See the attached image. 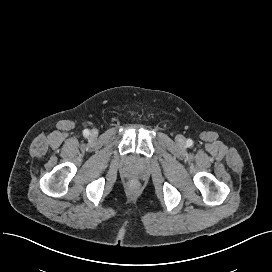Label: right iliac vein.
<instances>
[{"instance_id": "63e3f726", "label": "right iliac vein", "mask_w": 272, "mask_h": 272, "mask_svg": "<svg viewBox=\"0 0 272 272\" xmlns=\"http://www.w3.org/2000/svg\"><path fill=\"white\" fill-rule=\"evenodd\" d=\"M97 134H98V133H97V131H96V130H92V131H91V136L96 137V136H97Z\"/></svg>"}]
</instances>
